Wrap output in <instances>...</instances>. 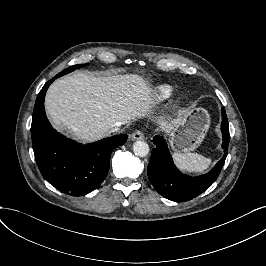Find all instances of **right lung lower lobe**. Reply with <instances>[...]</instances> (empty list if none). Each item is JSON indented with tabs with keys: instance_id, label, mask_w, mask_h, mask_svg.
<instances>
[{
	"instance_id": "1",
	"label": "right lung lower lobe",
	"mask_w": 266,
	"mask_h": 266,
	"mask_svg": "<svg viewBox=\"0 0 266 266\" xmlns=\"http://www.w3.org/2000/svg\"><path fill=\"white\" fill-rule=\"evenodd\" d=\"M58 77L59 74L48 81L37 96L31 125L32 146L39 170L51 185L65 194L83 196L103 182L112 151L126 142L127 135L82 145L52 128L45 114L44 98Z\"/></svg>"
}]
</instances>
